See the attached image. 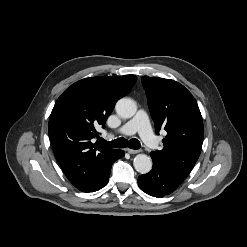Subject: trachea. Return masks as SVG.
Returning <instances> with one entry per match:
<instances>
[{"instance_id": "obj_1", "label": "trachea", "mask_w": 247, "mask_h": 247, "mask_svg": "<svg viewBox=\"0 0 247 247\" xmlns=\"http://www.w3.org/2000/svg\"><path fill=\"white\" fill-rule=\"evenodd\" d=\"M100 143L107 145L111 148H125L128 146L131 149L137 150V149H140L141 147V144L137 139H130L129 141H127L123 137L112 140L110 142H107L104 139H100Z\"/></svg>"}]
</instances>
